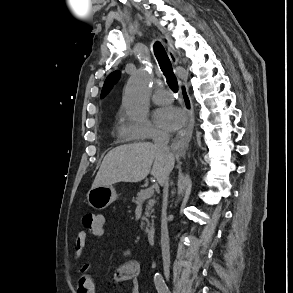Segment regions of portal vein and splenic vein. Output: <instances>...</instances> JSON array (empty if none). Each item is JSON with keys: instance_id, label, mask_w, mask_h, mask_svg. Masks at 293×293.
Here are the masks:
<instances>
[{"instance_id": "1", "label": "portal vein and splenic vein", "mask_w": 293, "mask_h": 293, "mask_svg": "<svg viewBox=\"0 0 293 293\" xmlns=\"http://www.w3.org/2000/svg\"><path fill=\"white\" fill-rule=\"evenodd\" d=\"M154 194V189L152 187L146 189L145 198H149Z\"/></svg>"}]
</instances>
